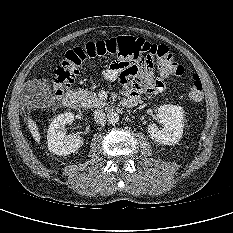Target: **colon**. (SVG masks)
<instances>
[{
	"mask_svg": "<svg viewBox=\"0 0 233 233\" xmlns=\"http://www.w3.org/2000/svg\"><path fill=\"white\" fill-rule=\"evenodd\" d=\"M138 52L158 54L161 58L159 71L164 78L181 76L185 71L183 65L174 60L166 46L151 44L134 36H119L69 50L53 72V93L55 96H61L71 86L87 58L110 55L117 57V61L133 62V57ZM189 97L194 102L203 100V84L197 74H193L190 79Z\"/></svg>",
	"mask_w": 233,
	"mask_h": 233,
	"instance_id": "obj_1",
	"label": "colon"
}]
</instances>
